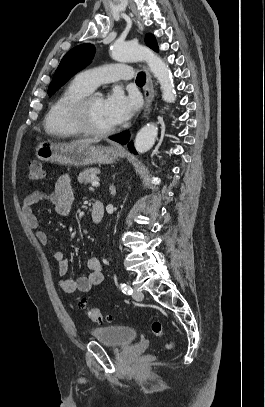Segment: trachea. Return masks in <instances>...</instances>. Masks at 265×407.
I'll list each match as a JSON object with an SVG mask.
<instances>
[{
  "label": "trachea",
  "instance_id": "obj_1",
  "mask_svg": "<svg viewBox=\"0 0 265 407\" xmlns=\"http://www.w3.org/2000/svg\"><path fill=\"white\" fill-rule=\"evenodd\" d=\"M146 81V76L143 72H139L136 78L137 84H144Z\"/></svg>",
  "mask_w": 265,
  "mask_h": 407
}]
</instances>
